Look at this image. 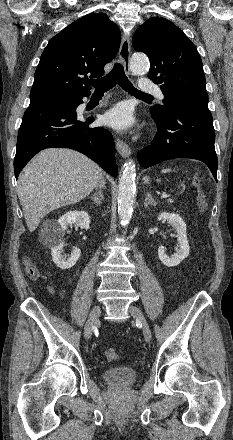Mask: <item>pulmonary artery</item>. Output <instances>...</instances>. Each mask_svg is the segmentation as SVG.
I'll return each mask as SVG.
<instances>
[{
	"label": "pulmonary artery",
	"mask_w": 233,
	"mask_h": 440,
	"mask_svg": "<svg viewBox=\"0 0 233 440\" xmlns=\"http://www.w3.org/2000/svg\"><path fill=\"white\" fill-rule=\"evenodd\" d=\"M140 90L144 91V92H148V93H154L156 94L160 99H164V94L162 93V91L160 90V88L148 81H142L140 83Z\"/></svg>",
	"instance_id": "obj_1"
}]
</instances>
